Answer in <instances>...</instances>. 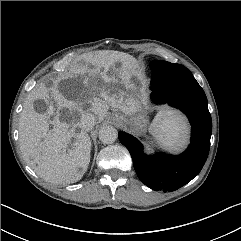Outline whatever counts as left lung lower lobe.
<instances>
[{"instance_id": "0a47b994", "label": "left lung lower lobe", "mask_w": 241, "mask_h": 241, "mask_svg": "<svg viewBox=\"0 0 241 241\" xmlns=\"http://www.w3.org/2000/svg\"><path fill=\"white\" fill-rule=\"evenodd\" d=\"M152 71L150 84L153 101L158 104L168 103L180 109L191 123L188 149L178 156L164 153L147 156L137 138L125 132H119L118 137L129 150L141 182L155 191L171 192L187 184L201 171L209 153L212 120L206 95L198 83L172 92L166 77L157 70Z\"/></svg>"}]
</instances>
